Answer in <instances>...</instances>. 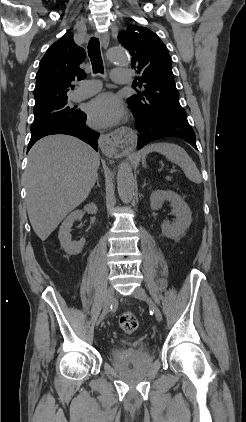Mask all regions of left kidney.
<instances>
[{
  "mask_svg": "<svg viewBox=\"0 0 246 422\" xmlns=\"http://www.w3.org/2000/svg\"><path fill=\"white\" fill-rule=\"evenodd\" d=\"M168 201L174 208L173 213L176 216L174 223L170 224L164 221L161 225L162 234L171 239H178L189 228L192 222V213L187 203L174 191L155 190L150 196V206L152 210H158L162 204Z\"/></svg>",
  "mask_w": 246,
  "mask_h": 422,
  "instance_id": "obj_1",
  "label": "left kidney"
}]
</instances>
